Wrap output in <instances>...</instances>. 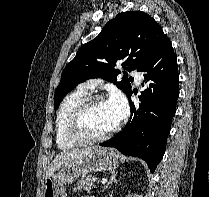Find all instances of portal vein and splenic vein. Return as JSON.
Returning <instances> with one entry per match:
<instances>
[{"label": "portal vein and splenic vein", "mask_w": 209, "mask_h": 197, "mask_svg": "<svg viewBox=\"0 0 209 197\" xmlns=\"http://www.w3.org/2000/svg\"><path fill=\"white\" fill-rule=\"evenodd\" d=\"M101 183H102V184L107 183V179H105V178H104V179H102V180H101Z\"/></svg>", "instance_id": "portal-vein-and-splenic-vein-1"}]
</instances>
